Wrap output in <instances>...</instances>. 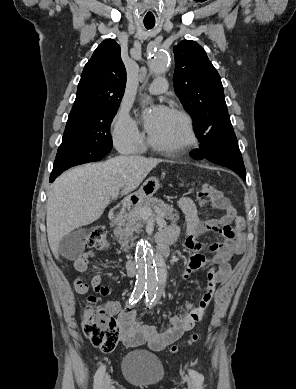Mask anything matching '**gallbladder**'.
Wrapping results in <instances>:
<instances>
[{
  "label": "gallbladder",
  "mask_w": 296,
  "mask_h": 389,
  "mask_svg": "<svg viewBox=\"0 0 296 389\" xmlns=\"http://www.w3.org/2000/svg\"><path fill=\"white\" fill-rule=\"evenodd\" d=\"M85 232L86 230L84 229H78L65 235L59 243V252L68 258L80 256L84 251L82 238Z\"/></svg>",
  "instance_id": "bac80fb5"
}]
</instances>
